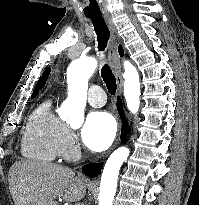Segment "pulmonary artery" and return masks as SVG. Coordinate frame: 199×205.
Returning <instances> with one entry per match:
<instances>
[{
	"mask_svg": "<svg viewBox=\"0 0 199 205\" xmlns=\"http://www.w3.org/2000/svg\"><path fill=\"white\" fill-rule=\"evenodd\" d=\"M88 102L93 107L103 106L106 102L104 90L98 85L91 86L88 92Z\"/></svg>",
	"mask_w": 199,
	"mask_h": 205,
	"instance_id": "pulmonary-artery-1",
	"label": "pulmonary artery"
}]
</instances>
